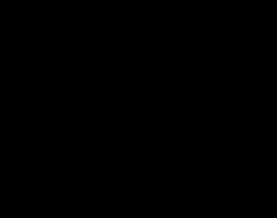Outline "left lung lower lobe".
Here are the masks:
<instances>
[{
	"label": "left lung lower lobe",
	"mask_w": 277,
	"mask_h": 218,
	"mask_svg": "<svg viewBox=\"0 0 277 218\" xmlns=\"http://www.w3.org/2000/svg\"><path fill=\"white\" fill-rule=\"evenodd\" d=\"M173 142L175 144H179L181 146H183L184 151L186 152H194L195 151V147H196V143L197 141L190 135H185V134H174L170 137ZM184 151L182 149H180V153L178 155H174L172 157L169 158V161L171 164L173 163H178L180 161V158L185 155ZM158 173H160L159 175V180L161 181V183L164 186H168L170 187V180H168L165 176V174L163 173L162 167H158L157 168ZM189 174V179L188 181L193 177V174Z\"/></svg>",
	"instance_id": "left-lung-lower-lobe-1"
}]
</instances>
